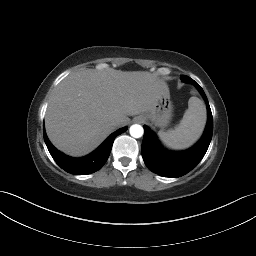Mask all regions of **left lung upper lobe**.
Listing matches in <instances>:
<instances>
[{
  "mask_svg": "<svg viewBox=\"0 0 256 256\" xmlns=\"http://www.w3.org/2000/svg\"><path fill=\"white\" fill-rule=\"evenodd\" d=\"M187 78H188V76H185V75H182V76H181V80H182L183 82H187Z\"/></svg>",
  "mask_w": 256,
  "mask_h": 256,
  "instance_id": "obj_1",
  "label": "left lung upper lobe"
}]
</instances>
